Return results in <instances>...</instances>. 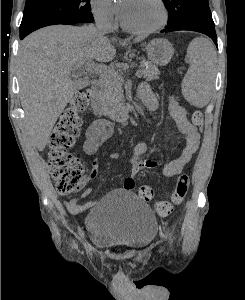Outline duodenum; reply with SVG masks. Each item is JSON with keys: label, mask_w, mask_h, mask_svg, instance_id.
<instances>
[{"label": "duodenum", "mask_w": 245, "mask_h": 300, "mask_svg": "<svg viewBox=\"0 0 245 300\" xmlns=\"http://www.w3.org/2000/svg\"><path fill=\"white\" fill-rule=\"evenodd\" d=\"M92 88V99H91V110L93 114L97 117H101L104 113L103 105L101 102V93H102V82L98 79H94L91 84ZM138 96L141 100H143V97L140 93H138ZM128 117L126 115L121 116L119 119V122L122 125H126L128 123Z\"/></svg>", "instance_id": "duodenum-1"}]
</instances>
